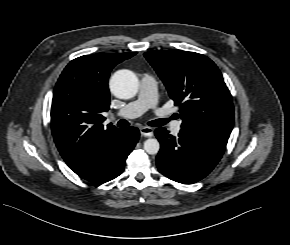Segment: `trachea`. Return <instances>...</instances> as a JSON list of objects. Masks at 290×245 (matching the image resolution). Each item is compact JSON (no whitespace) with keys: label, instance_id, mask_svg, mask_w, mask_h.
<instances>
[{"label":"trachea","instance_id":"3493384b","mask_svg":"<svg viewBox=\"0 0 290 245\" xmlns=\"http://www.w3.org/2000/svg\"><path fill=\"white\" fill-rule=\"evenodd\" d=\"M168 121H169L168 119H156L148 122V125L153 127H159L165 125ZM117 125L118 127H125L129 125V122L124 119H121L120 121H118Z\"/></svg>","mask_w":290,"mask_h":245}]
</instances>
